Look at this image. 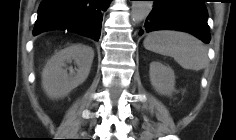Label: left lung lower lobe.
I'll return each mask as SVG.
<instances>
[{
  "instance_id": "0a47b994",
  "label": "left lung lower lobe",
  "mask_w": 236,
  "mask_h": 140,
  "mask_svg": "<svg viewBox=\"0 0 236 140\" xmlns=\"http://www.w3.org/2000/svg\"><path fill=\"white\" fill-rule=\"evenodd\" d=\"M145 22L144 31L178 30L193 34L205 43L210 42L208 13L204 0H154ZM141 30L139 35L144 32Z\"/></svg>"
}]
</instances>
